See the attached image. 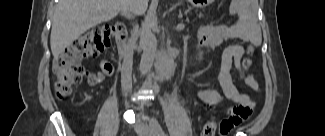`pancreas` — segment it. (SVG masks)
<instances>
[{
	"mask_svg": "<svg viewBox=\"0 0 325 136\" xmlns=\"http://www.w3.org/2000/svg\"><path fill=\"white\" fill-rule=\"evenodd\" d=\"M181 15L188 16L182 19V22L184 24H192L194 21L193 19L201 18V13L198 12L197 9H195L194 5H187L186 9L181 10Z\"/></svg>",
	"mask_w": 325,
	"mask_h": 136,
	"instance_id": "obj_1",
	"label": "pancreas"
}]
</instances>
